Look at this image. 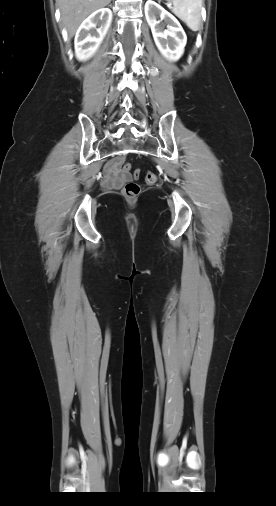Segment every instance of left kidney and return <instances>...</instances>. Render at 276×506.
<instances>
[{
	"mask_svg": "<svg viewBox=\"0 0 276 506\" xmlns=\"http://www.w3.org/2000/svg\"><path fill=\"white\" fill-rule=\"evenodd\" d=\"M146 20L151 28L155 44L161 54L170 61H177L184 52L187 36L178 20L155 1L145 4ZM160 17L167 24V29L159 24Z\"/></svg>",
	"mask_w": 276,
	"mask_h": 506,
	"instance_id": "1",
	"label": "left kidney"
}]
</instances>
